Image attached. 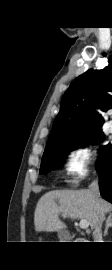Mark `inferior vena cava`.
<instances>
[{"instance_id": "602c4592", "label": "inferior vena cava", "mask_w": 112, "mask_h": 270, "mask_svg": "<svg viewBox=\"0 0 112 270\" xmlns=\"http://www.w3.org/2000/svg\"><path fill=\"white\" fill-rule=\"evenodd\" d=\"M90 190L93 193V195L95 197H100V190H99V185H98V180H94L91 185H90ZM104 219V214L101 213L99 216V220L98 223L96 225L95 231L93 233L95 242H102V231H101V227H102V222Z\"/></svg>"}]
</instances>
